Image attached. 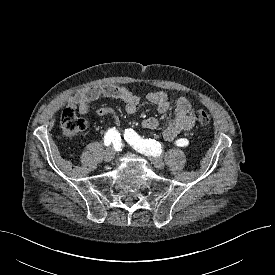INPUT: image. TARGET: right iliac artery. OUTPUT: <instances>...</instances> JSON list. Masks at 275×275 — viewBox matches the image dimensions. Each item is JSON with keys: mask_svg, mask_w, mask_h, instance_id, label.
I'll use <instances>...</instances> for the list:
<instances>
[{"mask_svg": "<svg viewBox=\"0 0 275 275\" xmlns=\"http://www.w3.org/2000/svg\"><path fill=\"white\" fill-rule=\"evenodd\" d=\"M120 140V133L115 128L109 129L104 136L105 146H109L111 143L118 144Z\"/></svg>", "mask_w": 275, "mask_h": 275, "instance_id": "82829eb1", "label": "right iliac artery"}]
</instances>
